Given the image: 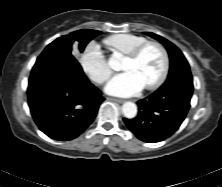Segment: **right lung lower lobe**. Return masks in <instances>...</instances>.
I'll list each match as a JSON object with an SVG mask.
<instances>
[{
  "mask_svg": "<svg viewBox=\"0 0 222 187\" xmlns=\"http://www.w3.org/2000/svg\"><path fill=\"white\" fill-rule=\"evenodd\" d=\"M27 94L39 129L59 141L79 136L104 100L72 54L46 48L32 69Z\"/></svg>",
  "mask_w": 222,
  "mask_h": 187,
  "instance_id": "1",
  "label": "right lung lower lobe"
}]
</instances>
